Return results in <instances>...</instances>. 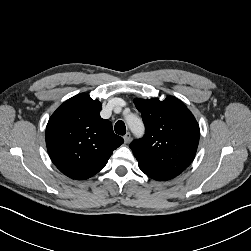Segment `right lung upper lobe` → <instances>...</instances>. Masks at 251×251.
<instances>
[{
    "label": "right lung upper lobe",
    "instance_id": "1",
    "mask_svg": "<svg viewBox=\"0 0 251 251\" xmlns=\"http://www.w3.org/2000/svg\"><path fill=\"white\" fill-rule=\"evenodd\" d=\"M102 105L87 94H78L50 117L46 146L55 166L66 176L83 180L98 173L123 142L109 120L100 117Z\"/></svg>",
    "mask_w": 251,
    "mask_h": 251
}]
</instances>
